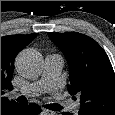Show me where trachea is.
Here are the masks:
<instances>
[{
    "mask_svg": "<svg viewBox=\"0 0 115 115\" xmlns=\"http://www.w3.org/2000/svg\"><path fill=\"white\" fill-rule=\"evenodd\" d=\"M17 101L19 103H27V99L24 96H20L17 98ZM45 108L49 109V110H53V111H60L63 109V107L60 104H47L44 106Z\"/></svg>",
    "mask_w": 115,
    "mask_h": 115,
    "instance_id": "trachea-1",
    "label": "trachea"
}]
</instances>
